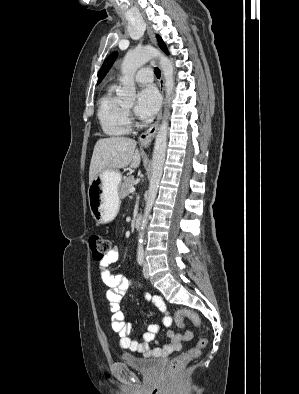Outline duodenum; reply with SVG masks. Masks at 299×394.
Masks as SVG:
<instances>
[{"mask_svg": "<svg viewBox=\"0 0 299 394\" xmlns=\"http://www.w3.org/2000/svg\"><path fill=\"white\" fill-rule=\"evenodd\" d=\"M141 226H142V218H141V216H137L135 219V227L137 229H140Z\"/></svg>", "mask_w": 299, "mask_h": 394, "instance_id": "obj_1", "label": "duodenum"}]
</instances>
